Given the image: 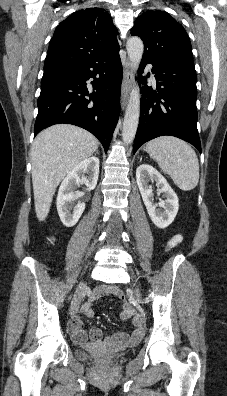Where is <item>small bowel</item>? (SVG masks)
<instances>
[{"label":"small bowel","instance_id":"1","mask_svg":"<svg viewBox=\"0 0 227 396\" xmlns=\"http://www.w3.org/2000/svg\"><path fill=\"white\" fill-rule=\"evenodd\" d=\"M182 242L180 234L174 235L167 243L166 250L169 251ZM121 294L118 287L112 285H103L94 289L88 301L84 303L80 309V313L87 318L93 316L92 304L104 295L117 296ZM123 300V299H121ZM121 320L131 319L134 329L128 334L125 332H116L111 334L105 340L102 331L97 327H92L87 333L82 328V320L79 316H75L69 321V331L73 339L81 344L90 343L91 345H100L104 341L111 345H124L138 342L144 335L140 319L135 315L134 309L126 302H122V311L120 313Z\"/></svg>","mask_w":227,"mask_h":396}]
</instances>
